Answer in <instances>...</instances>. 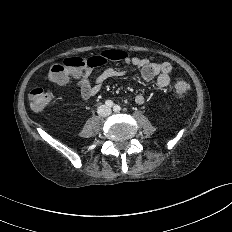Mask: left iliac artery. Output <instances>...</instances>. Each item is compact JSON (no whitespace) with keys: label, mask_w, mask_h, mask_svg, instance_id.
I'll list each match as a JSON object with an SVG mask.
<instances>
[{"label":"left iliac artery","mask_w":232,"mask_h":232,"mask_svg":"<svg viewBox=\"0 0 232 232\" xmlns=\"http://www.w3.org/2000/svg\"><path fill=\"white\" fill-rule=\"evenodd\" d=\"M113 110H114L115 112H119V111L121 110V107H120L119 105H115V106L113 107Z\"/></svg>","instance_id":"44dca946"}]
</instances>
